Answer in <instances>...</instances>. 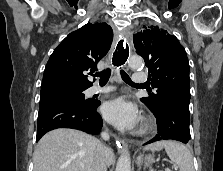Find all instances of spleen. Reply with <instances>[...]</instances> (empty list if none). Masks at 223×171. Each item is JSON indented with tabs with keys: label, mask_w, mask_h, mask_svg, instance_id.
<instances>
[{
	"label": "spleen",
	"mask_w": 223,
	"mask_h": 171,
	"mask_svg": "<svg viewBox=\"0 0 223 171\" xmlns=\"http://www.w3.org/2000/svg\"><path fill=\"white\" fill-rule=\"evenodd\" d=\"M169 158L178 165L179 171H194L193 158L189 149L175 141H162Z\"/></svg>",
	"instance_id": "spleen-1"
}]
</instances>
